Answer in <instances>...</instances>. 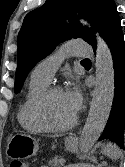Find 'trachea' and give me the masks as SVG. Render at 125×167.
Returning <instances> with one entry per match:
<instances>
[{
	"label": "trachea",
	"mask_w": 125,
	"mask_h": 167,
	"mask_svg": "<svg viewBox=\"0 0 125 167\" xmlns=\"http://www.w3.org/2000/svg\"><path fill=\"white\" fill-rule=\"evenodd\" d=\"M82 62H90V60L89 59H84V60H82Z\"/></svg>",
	"instance_id": "obj_1"
}]
</instances>
